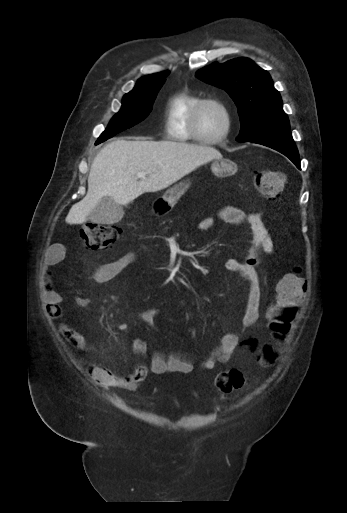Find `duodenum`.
Instances as JSON below:
<instances>
[{
    "label": "duodenum",
    "instance_id": "obj_1",
    "mask_svg": "<svg viewBox=\"0 0 347 513\" xmlns=\"http://www.w3.org/2000/svg\"><path fill=\"white\" fill-rule=\"evenodd\" d=\"M155 207H156V209H157V210H159V211H160V210H162V208H163V206H162L160 203H157V204L155 205Z\"/></svg>",
    "mask_w": 347,
    "mask_h": 513
}]
</instances>
